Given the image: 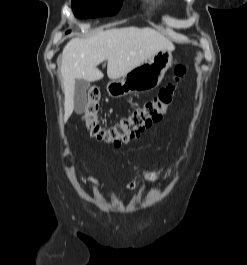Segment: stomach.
<instances>
[{"instance_id":"1","label":"stomach","mask_w":247,"mask_h":265,"mask_svg":"<svg viewBox=\"0 0 247 265\" xmlns=\"http://www.w3.org/2000/svg\"><path fill=\"white\" fill-rule=\"evenodd\" d=\"M173 50H160L149 60L131 70L118 81L107 84V92L113 98L131 93L149 91L161 83L173 63Z\"/></svg>"}]
</instances>
